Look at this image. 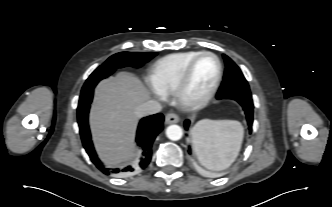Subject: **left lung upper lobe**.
Masks as SVG:
<instances>
[{
    "label": "left lung upper lobe",
    "instance_id": "1",
    "mask_svg": "<svg viewBox=\"0 0 332 207\" xmlns=\"http://www.w3.org/2000/svg\"><path fill=\"white\" fill-rule=\"evenodd\" d=\"M223 58L225 60L226 69L223 82L217 95L228 96L238 94L251 96L248 82L239 67L228 56L223 55Z\"/></svg>",
    "mask_w": 332,
    "mask_h": 207
}]
</instances>
